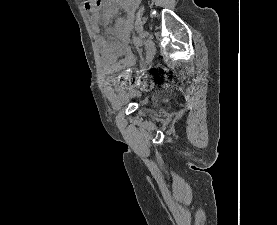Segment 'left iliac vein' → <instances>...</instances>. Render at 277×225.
Listing matches in <instances>:
<instances>
[{
  "instance_id": "4c4485c4",
  "label": "left iliac vein",
  "mask_w": 277,
  "mask_h": 225,
  "mask_svg": "<svg viewBox=\"0 0 277 225\" xmlns=\"http://www.w3.org/2000/svg\"><path fill=\"white\" fill-rule=\"evenodd\" d=\"M155 51H156V48H155V44H154L153 40L147 39L145 41V54H146V64L147 65L151 64V62L154 58V55H155Z\"/></svg>"
}]
</instances>
